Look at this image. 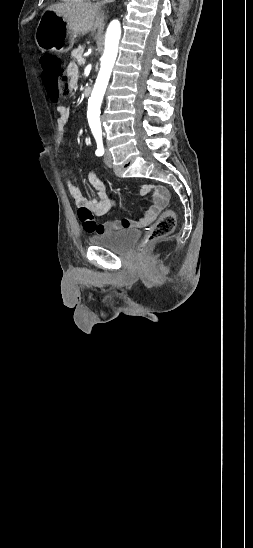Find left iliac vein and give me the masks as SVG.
Masks as SVG:
<instances>
[{
	"label": "left iliac vein",
	"instance_id": "4c4485c4",
	"mask_svg": "<svg viewBox=\"0 0 253 548\" xmlns=\"http://www.w3.org/2000/svg\"><path fill=\"white\" fill-rule=\"evenodd\" d=\"M104 162L107 166H109V167L112 166V155H111V152L109 151L108 148H106V150H105Z\"/></svg>",
	"mask_w": 253,
	"mask_h": 548
}]
</instances>
